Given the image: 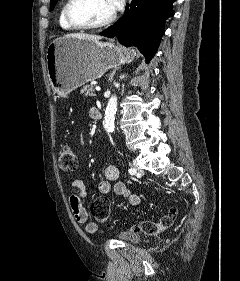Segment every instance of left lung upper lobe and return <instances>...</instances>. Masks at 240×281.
<instances>
[{
	"label": "left lung upper lobe",
	"mask_w": 240,
	"mask_h": 281,
	"mask_svg": "<svg viewBox=\"0 0 240 281\" xmlns=\"http://www.w3.org/2000/svg\"><path fill=\"white\" fill-rule=\"evenodd\" d=\"M58 0H51L50 1V10L53 9V7L55 6V4L57 3Z\"/></svg>",
	"instance_id": "1"
}]
</instances>
